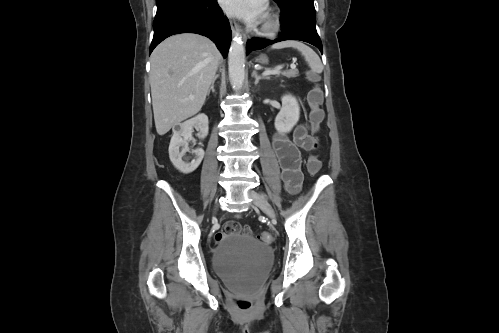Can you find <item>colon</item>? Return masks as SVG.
Segmentation results:
<instances>
[{"mask_svg": "<svg viewBox=\"0 0 499 333\" xmlns=\"http://www.w3.org/2000/svg\"><path fill=\"white\" fill-rule=\"evenodd\" d=\"M309 79L316 83L318 81L317 75L314 73H309ZM308 103L311 107L309 114V122L314 133H317L320 129L321 123L324 119V113L321 109L323 103V92L318 85H315L308 93ZM318 140L315 138L314 147H317ZM307 170L310 174H316L321 169V161L315 154H311L306 162ZM231 234H244L252 236V230L248 225H242L238 222L230 221L225 224L223 229L216 234V242H221L226 236ZM260 240L265 243L272 242V236L268 232H262L257 236ZM237 307L241 311H248L252 307V301L247 298H239L236 302Z\"/></svg>", "mask_w": 499, "mask_h": 333, "instance_id": "5ec220e1", "label": "colon"}]
</instances>
